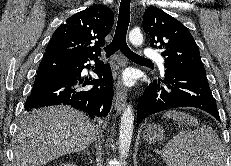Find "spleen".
<instances>
[{"label": "spleen", "instance_id": "spleen-1", "mask_svg": "<svg viewBox=\"0 0 231 166\" xmlns=\"http://www.w3.org/2000/svg\"><path fill=\"white\" fill-rule=\"evenodd\" d=\"M164 118L178 121L182 129L162 150L167 166H226V154L217 133L209 126L198 125V120L186 113L171 110ZM183 125L196 127L184 130Z\"/></svg>", "mask_w": 231, "mask_h": 166}]
</instances>
